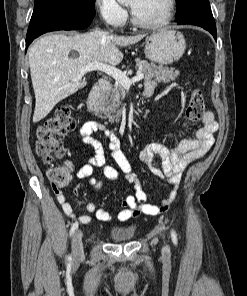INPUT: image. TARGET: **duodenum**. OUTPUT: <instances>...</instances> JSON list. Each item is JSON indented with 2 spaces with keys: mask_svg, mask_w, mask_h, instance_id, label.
Returning a JSON list of instances; mask_svg holds the SVG:
<instances>
[{
  "mask_svg": "<svg viewBox=\"0 0 247 296\" xmlns=\"http://www.w3.org/2000/svg\"><path fill=\"white\" fill-rule=\"evenodd\" d=\"M111 89V84L107 80H99L92 88L88 100H87V111L92 116L98 115V106L102 98ZM150 93H145V96H150Z\"/></svg>",
  "mask_w": 247,
  "mask_h": 296,
  "instance_id": "1",
  "label": "duodenum"
}]
</instances>
